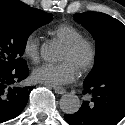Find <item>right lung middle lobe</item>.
<instances>
[{"mask_svg": "<svg viewBox=\"0 0 125 125\" xmlns=\"http://www.w3.org/2000/svg\"><path fill=\"white\" fill-rule=\"evenodd\" d=\"M52 19V14L41 10L35 18L27 21L15 20L6 12L0 11V63L9 68L26 64L21 56L29 35Z\"/></svg>", "mask_w": 125, "mask_h": 125, "instance_id": "obj_1", "label": "right lung middle lobe"}]
</instances>
